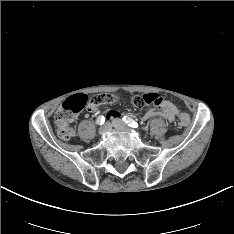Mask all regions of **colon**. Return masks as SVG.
<instances>
[{
  "instance_id": "colon-1",
  "label": "colon",
  "mask_w": 234,
  "mask_h": 234,
  "mask_svg": "<svg viewBox=\"0 0 234 234\" xmlns=\"http://www.w3.org/2000/svg\"><path fill=\"white\" fill-rule=\"evenodd\" d=\"M153 94L155 93L144 94V95L152 96ZM139 96L142 95H136L133 97L132 99L133 104L135 99ZM94 98L95 97L88 99V97L84 94H76L74 96L69 97L61 104V106L58 108L55 114V122L57 124V135L60 139L64 141H69L74 136L75 131L70 126L71 122L75 119L77 114L85 106H89V104L93 101ZM179 121L181 125L185 126L189 122V116L183 113L181 114Z\"/></svg>"
}]
</instances>
